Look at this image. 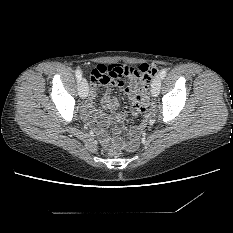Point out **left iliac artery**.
I'll use <instances>...</instances> for the list:
<instances>
[{
  "label": "left iliac artery",
  "mask_w": 233,
  "mask_h": 233,
  "mask_svg": "<svg viewBox=\"0 0 233 233\" xmlns=\"http://www.w3.org/2000/svg\"><path fill=\"white\" fill-rule=\"evenodd\" d=\"M166 74H167V70H166V69H162V70L160 71V77H161L162 79L166 76Z\"/></svg>",
  "instance_id": "obj_1"
}]
</instances>
